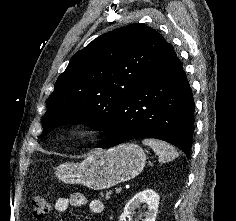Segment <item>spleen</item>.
<instances>
[{
  "label": "spleen",
  "instance_id": "spleen-1",
  "mask_svg": "<svg viewBox=\"0 0 236 221\" xmlns=\"http://www.w3.org/2000/svg\"><path fill=\"white\" fill-rule=\"evenodd\" d=\"M142 143L146 146H150L153 149L155 154L158 156L160 163H166L178 157V152L175 147L167 142L153 138H147L144 139Z\"/></svg>",
  "mask_w": 236,
  "mask_h": 221
}]
</instances>
